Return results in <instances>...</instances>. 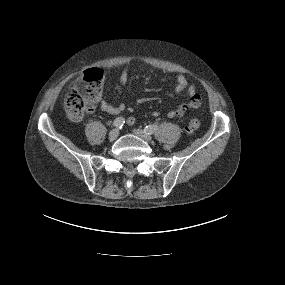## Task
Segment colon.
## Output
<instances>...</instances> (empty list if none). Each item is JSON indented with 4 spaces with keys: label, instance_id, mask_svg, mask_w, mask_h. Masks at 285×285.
<instances>
[{
    "label": "colon",
    "instance_id": "colon-1",
    "mask_svg": "<svg viewBox=\"0 0 285 285\" xmlns=\"http://www.w3.org/2000/svg\"><path fill=\"white\" fill-rule=\"evenodd\" d=\"M103 78L100 69L90 68L74 82L65 99V110L71 120L80 121L86 113L94 110L101 99ZM198 128L197 119H191L186 127L189 132Z\"/></svg>",
    "mask_w": 285,
    "mask_h": 285
}]
</instances>
